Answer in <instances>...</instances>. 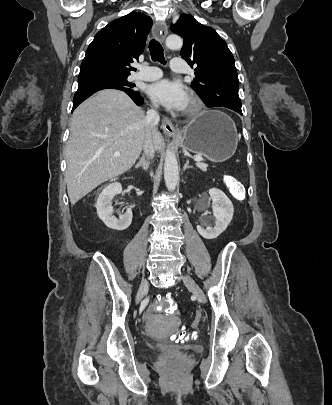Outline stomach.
Here are the masks:
<instances>
[{
	"label": "stomach",
	"instance_id": "obj_1",
	"mask_svg": "<svg viewBox=\"0 0 332 405\" xmlns=\"http://www.w3.org/2000/svg\"><path fill=\"white\" fill-rule=\"evenodd\" d=\"M178 138L186 150L217 163L231 158L238 143L234 122L216 110L200 113L183 128Z\"/></svg>",
	"mask_w": 332,
	"mask_h": 405
}]
</instances>
